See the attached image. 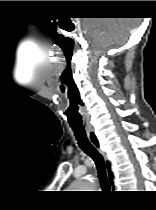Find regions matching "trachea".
<instances>
[{
    "label": "trachea",
    "instance_id": "obj_1",
    "mask_svg": "<svg viewBox=\"0 0 156 210\" xmlns=\"http://www.w3.org/2000/svg\"><path fill=\"white\" fill-rule=\"evenodd\" d=\"M74 135L79 147L94 160L102 186L109 187L105 161L101 153L89 141L85 131H74Z\"/></svg>",
    "mask_w": 156,
    "mask_h": 210
}]
</instances>
